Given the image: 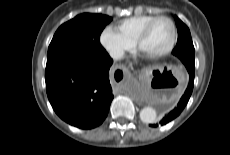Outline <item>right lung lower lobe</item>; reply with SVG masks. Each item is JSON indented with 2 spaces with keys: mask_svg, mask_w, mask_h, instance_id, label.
Returning <instances> with one entry per match:
<instances>
[{
  "mask_svg": "<svg viewBox=\"0 0 230 155\" xmlns=\"http://www.w3.org/2000/svg\"><path fill=\"white\" fill-rule=\"evenodd\" d=\"M112 63L108 53L47 62V96L62 120L81 129L97 127L104 121L114 97L108 79Z\"/></svg>",
  "mask_w": 230,
  "mask_h": 155,
  "instance_id": "obj_1",
  "label": "right lung lower lobe"
}]
</instances>
